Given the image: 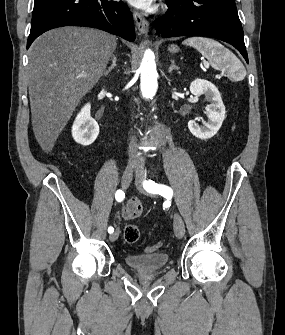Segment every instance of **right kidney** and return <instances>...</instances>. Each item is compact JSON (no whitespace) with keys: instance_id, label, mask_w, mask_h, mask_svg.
Listing matches in <instances>:
<instances>
[{"instance_id":"ca27d5eb","label":"right kidney","mask_w":285,"mask_h":335,"mask_svg":"<svg viewBox=\"0 0 285 335\" xmlns=\"http://www.w3.org/2000/svg\"><path fill=\"white\" fill-rule=\"evenodd\" d=\"M98 134L99 126L96 120L91 118L90 104H86L81 112H79L77 118H75L72 126V136L77 144L90 146L96 140Z\"/></svg>"}]
</instances>
